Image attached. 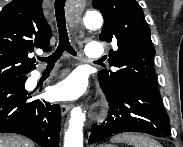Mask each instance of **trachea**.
<instances>
[{
	"label": "trachea",
	"instance_id": "obj_1",
	"mask_svg": "<svg viewBox=\"0 0 183 147\" xmlns=\"http://www.w3.org/2000/svg\"><path fill=\"white\" fill-rule=\"evenodd\" d=\"M64 6L65 0L55 1V15L59 31V45L57 47V50L48 57H38L39 61L47 63V67H54L55 63L62 56L64 51H67L71 55L76 56V52L69 42V37L66 28Z\"/></svg>",
	"mask_w": 183,
	"mask_h": 147
}]
</instances>
